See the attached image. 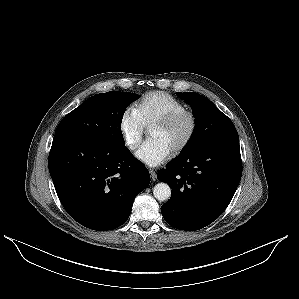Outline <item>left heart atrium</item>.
I'll use <instances>...</instances> for the list:
<instances>
[{
    "instance_id": "left-heart-atrium-1",
    "label": "left heart atrium",
    "mask_w": 299,
    "mask_h": 299,
    "mask_svg": "<svg viewBox=\"0 0 299 299\" xmlns=\"http://www.w3.org/2000/svg\"><path fill=\"white\" fill-rule=\"evenodd\" d=\"M170 153L171 151L162 141L150 139L140 146L135 155L144 164L156 167L165 162Z\"/></svg>"
}]
</instances>
